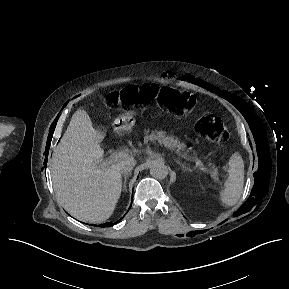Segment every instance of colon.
<instances>
[{"label":"colon","mask_w":289,"mask_h":289,"mask_svg":"<svg viewBox=\"0 0 289 289\" xmlns=\"http://www.w3.org/2000/svg\"><path fill=\"white\" fill-rule=\"evenodd\" d=\"M159 102L163 107L173 110L179 116H190L196 108V98L190 93L155 85L128 86L119 91H112L105 96V102L109 106H121L132 108L137 105H148ZM196 133L207 139L226 142L229 140V132L224 127L221 118L202 114L194 119Z\"/></svg>","instance_id":"5ec220e1"}]
</instances>
